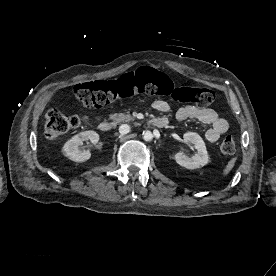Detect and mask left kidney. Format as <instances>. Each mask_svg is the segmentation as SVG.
<instances>
[{
	"mask_svg": "<svg viewBox=\"0 0 276 276\" xmlns=\"http://www.w3.org/2000/svg\"><path fill=\"white\" fill-rule=\"evenodd\" d=\"M183 140L186 143L193 144L194 148L197 150V153L194 156L189 157L183 152H177L174 158L180 166L188 169H196L208 164L209 156L205 143L199 134L195 132H186L183 135Z\"/></svg>",
	"mask_w": 276,
	"mask_h": 276,
	"instance_id": "obj_1",
	"label": "left kidney"
}]
</instances>
